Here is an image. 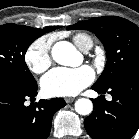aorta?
Listing matches in <instances>:
<instances>
[{
  "label": "aorta",
  "mask_w": 139,
  "mask_h": 139,
  "mask_svg": "<svg viewBox=\"0 0 139 139\" xmlns=\"http://www.w3.org/2000/svg\"><path fill=\"white\" fill-rule=\"evenodd\" d=\"M53 59L64 66L76 65L78 51L67 41H60L54 44L52 48ZM93 110V103L87 98H80L75 102V111L80 115H89Z\"/></svg>",
  "instance_id": "obj_1"
}]
</instances>
